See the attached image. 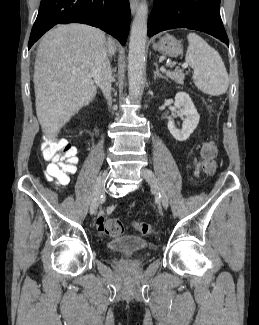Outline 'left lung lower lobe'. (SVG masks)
Listing matches in <instances>:
<instances>
[{
  "label": "left lung lower lobe",
  "instance_id": "left-lung-lower-lobe-1",
  "mask_svg": "<svg viewBox=\"0 0 259 325\" xmlns=\"http://www.w3.org/2000/svg\"><path fill=\"white\" fill-rule=\"evenodd\" d=\"M220 0H154L148 36L173 28L208 33L228 45L220 13Z\"/></svg>",
  "mask_w": 259,
  "mask_h": 325
}]
</instances>
